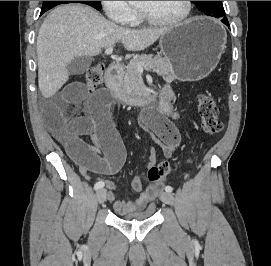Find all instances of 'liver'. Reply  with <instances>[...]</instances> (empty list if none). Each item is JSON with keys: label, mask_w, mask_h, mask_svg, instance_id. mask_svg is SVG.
<instances>
[{"label": "liver", "mask_w": 271, "mask_h": 266, "mask_svg": "<svg viewBox=\"0 0 271 266\" xmlns=\"http://www.w3.org/2000/svg\"><path fill=\"white\" fill-rule=\"evenodd\" d=\"M168 29L123 28L89 6H59L46 17L37 37L40 92L45 98L56 94L69 79L64 67L77 57L95 56L117 42L128 51H141L154 44Z\"/></svg>", "instance_id": "1"}]
</instances>
